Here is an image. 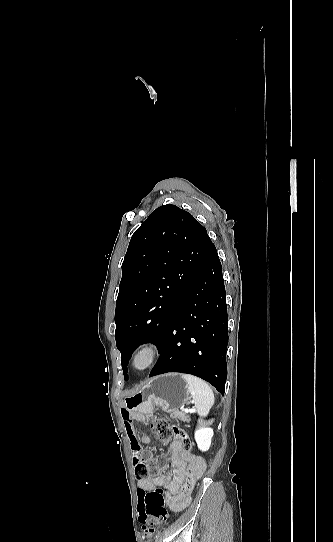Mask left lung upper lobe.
I'll return each instance as SVG.
<instances>
[{"label":"left lung upper lobe","mask_w":333,"mask_h":542,"mask_svg":"<svg viewBox=\"0 0 333 542\" xmlns=\"http://www.w3.org/2000/svg\"><path fill=\"white\" fill-rule=\"evenodd\" d=\"M213 246L206 229L171 204L154 210L131 237L115 311V339L125 380L133 351L166 330Z\"/></svg>","instance_id":"1"}]
</instances>
